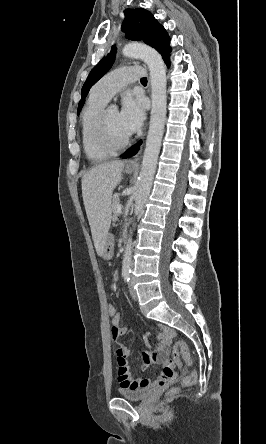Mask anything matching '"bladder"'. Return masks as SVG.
I'll return each mask as SVG.
<instances>
[{"instance_id":"obj_1","label":"bladder","mask_w":266,"mask_h":444,"mask_svg":"<svg viewBox=\"0 0 266 444\" xmlns=\"http://www.w3.org/2000/svg\"><path fill=\"white\" fill-rule=\"evenodd\" d=\"M153 389V386H144L137 389H121L120 395L131 401H143L148 398Z\"/></svg>"}]
</instances>
